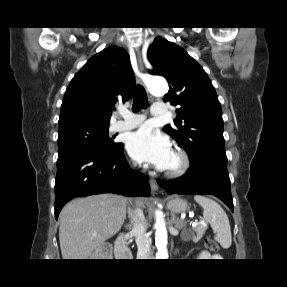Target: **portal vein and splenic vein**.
<instances>
[{
  "label": "portal vein and splenic vein",
  "instance_id": "obj_1",
  "mask_svg": "<svg viewBox=\"0 0 287 287\" xmlns=\"http://www.w3.org/2000/svg\"><path fill=\"white\" fill-rule=\"evenodd\" d=\"M193 224H203V225H205V222L204 221H200V222H198L197 220H195V222L193 223Z\"/></svg>",
  "mask_w": 287,
  "mask_h": 287
}]
</instances>
